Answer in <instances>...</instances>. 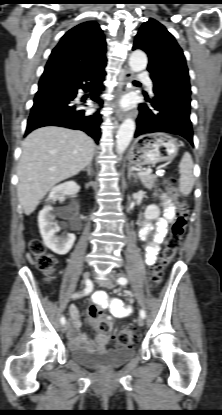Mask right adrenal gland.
Instances as JSON below:
<instances>
[{
    "instance_id": "right-adrenal-gland-1",
    "label": "right adrenal gland",
    "mask_w": 222,
    "mask_h": 415,
    "mask_svg": "<svg viewBox=\"0 0 222 415\" xmlns=\"http://www.w3.org/2000/svg\"><path fill=\"white\" fill-rule=\"evenodd\" d=\"M83 171H87L88 175L91 176L92 175V164L89 163L87 167L83 169Z\"/></svg>"
}]
</instances>
